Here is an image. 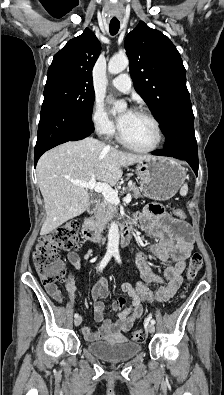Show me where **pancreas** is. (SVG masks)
<instances>
[{
    "instance_id": "cf45deb5",
    "label": "pancreas",
    "mask_w": 224,
    "mask_h": 395,
    "mask_svg": "<svg viewBox=\"0 0 224 395\" xmlns=\"http://www.w3.org/2000/svg\"><path fill=\"white\" fill-rule=\"evenodd\" d=\"M128 191L132 192V196L136 199L143 197L140 189L135 184L129 186ZM116 212V205L104 199L94 209V215L92 217V220L96 227H102L105 226L114 217Z\"/></svg>"
}]
</instances>
